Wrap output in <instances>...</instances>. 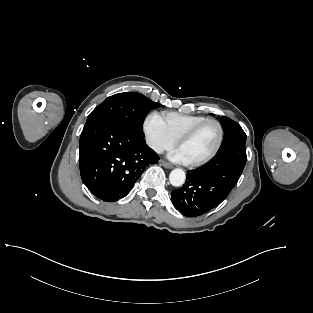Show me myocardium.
<instances>
[{"instance_id":"myocardium-1","label":"myocardium","mask_w":313,"mask_h":313,"mask_svg":"<svg viewBox=\"0 0 313 313\" xmlns=\"http://www.w3.org/2000/svg\"><path fill=\"white\" fill-rule=\"evenodd\" d=\"M208 123H214L218 128L217 143H216L214 149L212 150V152L209 155H207L206 157H204L200 160L194 161V162H188V164L192 167H199V166L207 164L219 152V150L222 146V143H223V138H224V129H223L221 122L215 118H207V119L199 122L198 124L194 125L190 129H188L186 132H184L182 135H180L178 137V139L176 140V144L179 147L182 143L191 139L202 127H204Z\"/></svg>"}]
</instances>
